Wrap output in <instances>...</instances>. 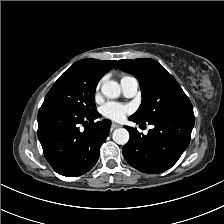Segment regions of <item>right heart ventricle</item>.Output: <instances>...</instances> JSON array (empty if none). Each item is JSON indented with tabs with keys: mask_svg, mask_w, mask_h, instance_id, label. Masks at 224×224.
I'll return each mask as SVG.
<instances>
[{
	"mask_svg": "<svg viewBox=\"0 0 224 224\" xmlns=\"http://www.w3.org/2000/svg\"><path fill=\"white\" fill-rule=\"evenodd\" d=\"M126 77H128V76H124L122 79H124V78H126ZM122 79H121V80H122Z\"/></svg>",
	"mask_w": 224,
	"mask_h": 224,
	"instance_id": "right-heart-ventricle-1",
	"label": "right heart ventricle"
}]
</instances>
